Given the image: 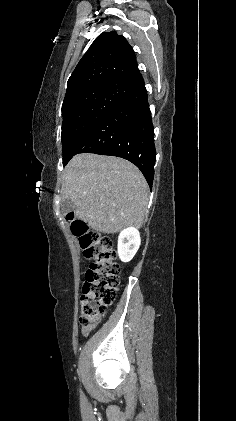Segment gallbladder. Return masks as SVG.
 <instances>
[{"instance_id":"obj_1","label":"gallbladder","mask_w":236,"mask_h":421,"mask_svg":"<svg viewBox=\"0 0 236 421\" xmlns=\"http://www.w3.org/2000/svg\"><path fill=\"white\" fill-rule=\"evenodd\" d=\"M62 213H70V211H76V204L70 200V198H64L60 202Z\"/></svg>"}]
</instances>
